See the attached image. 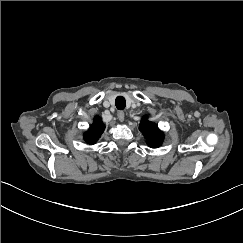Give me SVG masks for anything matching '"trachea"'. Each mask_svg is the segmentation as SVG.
<instances>
[{
	"mask_svg": "<svg viewBox=\"0 0 243 243\" xmlns=\"http://www.w3.org/2000/svg\"><path fill=\"white\" fill-rule=\"evenodd\" d=\"M115 105H116V108L118 110H123L126 106V100L124 97L122 96H118L116 99H115Z\"/></svg>",
	"mask_w": 243,
	"mask_h": 243,
	"instance_id": "obj_1",
	"label": "trachea"
}]
</instances>
